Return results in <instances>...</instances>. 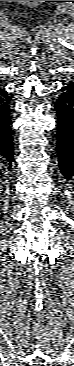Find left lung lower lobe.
Masks as SVG:
<instances>
[{"label": "left lung lower lobe", "instance_id": "obj_1", "mask_svg": "<svg viewBox=\"0 0 74 366\" xmlns=\"http://www.w3.org/2000/svg\"><path fill=\"white\" fill-rule=\"evenodd\" d=\"M58 116L56 151L58 165L65 179L74 176V83L60 89L54 104Z\"/></svg>", "mask_w": 74, "mask_h": 366}]
</instances>
